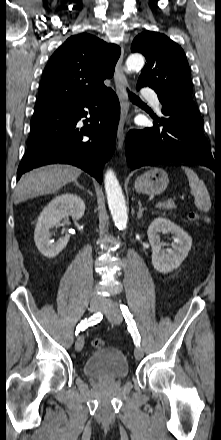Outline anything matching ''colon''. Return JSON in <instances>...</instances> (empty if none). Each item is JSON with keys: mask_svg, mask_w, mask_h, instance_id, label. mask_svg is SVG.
Segmentation results:
<instances>
[{"mask_svg": "<svg viewBox=\"0 0 221 440\" xmlns=\"http://www.w3.org/2000/svg\"><path fill=\"white\" fill-rule=\"evenodd\" d=\"M189 216L194 220L198 215L196 213H191ZM91 345L94 349H102L105 346V342L100 338H95L91 341Z\"/></svg>", "mask_w": 221, "mask_h": 440, "instance_id": "5ec220e1", "label": "colon"}]
</instances>
